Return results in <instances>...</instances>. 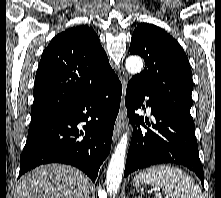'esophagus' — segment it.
<instances>
[{"label": "esophagus", "mask_w": 221, "mask_h": 198, "mask_svg": "<svg viewBox=\"0 0 221 198\" xmlns=\"http://www.w3.org/2000/svg\"><path fill=\"white\" fill-rule=\"evenodd\" d=\"M126 86H127V81H123V92H122V99H121V106L120 110L116 119L114 131H113V142H117L122 129L124 128L125 125V118H126V106H125V97H126Z\"/></svg>", "instance_id": "34e87169"}]
</instances>
